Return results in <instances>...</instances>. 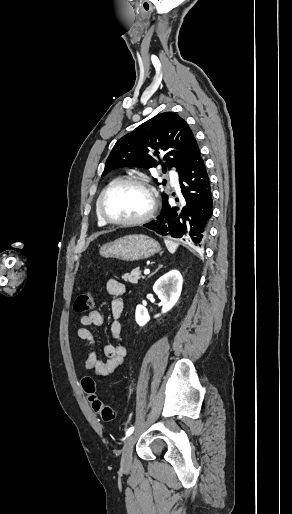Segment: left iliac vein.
Masks as SVG:
<instances>
[{
	"label": "left iliac vein",
	"instance_id": "left-iliac-vein-1",
	"mask_svg": "<svg viewBox=\"0 0 292 514\" xmlns=\"http://www.w3.org/2000/svg\"><path fill=\"white\" fill-rule=\"evenodd\" d=\"M136 440V435L131 434L127 436L124 441L123 449H122V457H121V467L123 470L130 469L132 465V450Z\"/></svg>",
	"mask_w": 292,
	"mask_h": 514
}]
</instances>
